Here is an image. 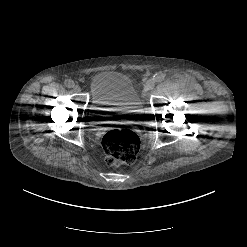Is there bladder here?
<instances>
[{"instance_id": "1", "label": "bladder", "mask_w": 247, "mask_h": 247, "mask_svg": "<svg viewBox=\"0 0 247 247\" xmlns=\"http://www.w3.org/2000/svg\"><path fill=\"white\" fill-rule=\"evenodd\" d=\"M90 119L96 125L135 121L141 117V101L132 80L119 72H100L89 83Z\"/></svg>"}]
</instances>
